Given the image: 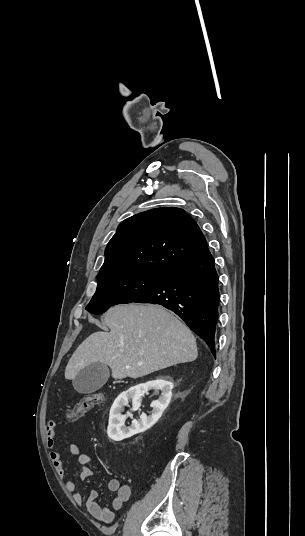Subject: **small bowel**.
Segmentation results:
<instances>
[{
	"mask_svg": "<svg viewBox=\"0 0 305 536\" xmlns=\"http://www.w3.org/2000/svg\"><path fill=\"white\" fill-rule=\"evenodd\" d=\"M56 422L53 419L48 420L47 425L44 427L46 431V444L49 448V456L52 461L53 466L55 467L56 474L59 479L65 478V469L63 466V461L60 452L55 447L57 434ZM69 453L72 456L77 457V462L81 466V471L79 473L80 480H86L89 478L93 469L91 465L93 464L92 458L81 453V447L78 444H71L69 447ZM108 490L114 494L112 500L106 504H100L98 502V492L97 490H92L87 498L86 507L88 512L97 520L104 523H111L115 518V511L120 510L125 503H127L131 496V488L128 484H121L120 481L116 478L109 479L107 483ZM65 489L68 493L73 494V499L76 503L80 504L82 502V495L76 492V483L72 480H68L65 483Z\"/></svg>",
	"mask_w": 305,
	"mask_h": 536,
	"instance_id": "1",
	"label": "small bowel"
}]
</instances>
